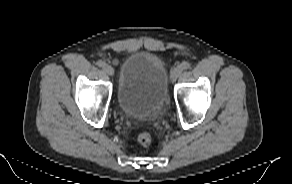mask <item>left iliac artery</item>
I'll list each match as a JSON object with an SVG mask.
<instances>
[{"mask_svg": "<svg viewBox=\"0 0 292 184\" xmlns=\"http://www.w3.org/2000/svg\"><path fill=\"white\" fill-rule=\"evenodd\" d=\"M189 67H190V64H189L188 62H183V63L179 66V68H180L181 70L188 69Z\"/></svg>", "mask_w": 292, "mask_h": 184, "instance_id": "obj_1", "label": "left iliac artery"}]
</instances>
